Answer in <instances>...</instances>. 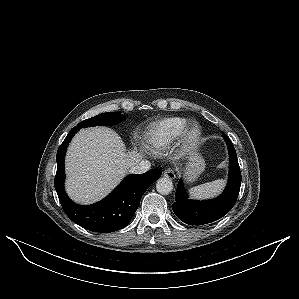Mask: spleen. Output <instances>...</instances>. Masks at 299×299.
<instances>
[{
  "instance_id": "obj_1",
  "label": "spleen",
  "mask_w": 299,
  "mask_h": 299,
  "mask_svg": "<svg viewBox=\"0 0 299 299\" xmlns=\"http://www.w3.org/2000/svg\"><path fill=\"white\" fill-rule=\"evenodd\" d=\"M225 186L224 179L204 183L188 190L190 198L196 200L210 199L217 196Z\"/></svg>"
}]
</instances>
